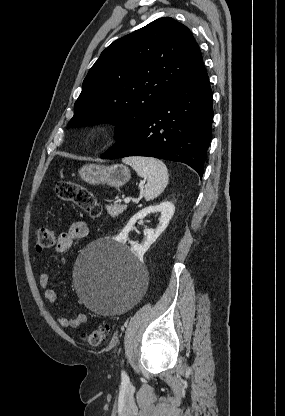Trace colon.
I'll use <instances>...</instances> for the list:
<instances>
[{
	"label": "colon",
	"instance_id": "5ec220e1",
	"mask_svg": "<svg viewBox=\"0 0 285 416\" xmlns=\"http://www.w3.org/2000/svg\"><path fill=\"white\" fill-rule=\"evenodd\" d=\"M55 196L62 201L75 204L91 218H99L102 214V207L97 197L83 185L72 181H61L56 185ZM55 242V231L52 228L44 227L38 230L36 235V250L43 252L50 249ZM109 332L107 324L99 325L90 333L81 335L82 339L91 346L101 345Z\"/></svg>",
	"mask_w": 285,
	"mask_h": 416
}]
</instances>
